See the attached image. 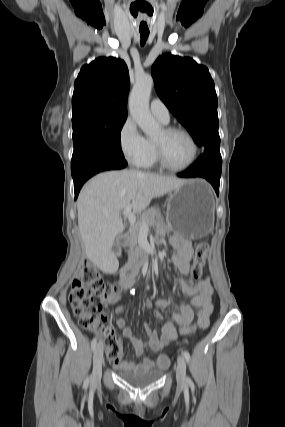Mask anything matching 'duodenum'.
Returning <instances> with one entry per match:
<instances>
[{"mask_svg": "<svg viewBox=\"0 0 285 427\" xmlns=\"http://www.w3.org/2000/svg\"><path fill=\"white\" fill-rule=\"evenodd\" d=\"M147 257V252L145 250H141L133 259L123 268L121 272L122 278L126 282H131L132 278L136 275V270L138 265L145 261Z\"/></svg>", "mask_w": 285, "mask_h": 427, "instance_id": "obj_1", "label": "duodenum"}]
</instances>
